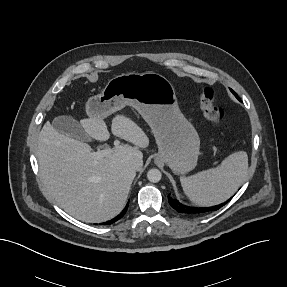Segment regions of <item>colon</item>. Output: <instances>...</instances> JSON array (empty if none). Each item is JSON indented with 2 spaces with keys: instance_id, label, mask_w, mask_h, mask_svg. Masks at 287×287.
I'll return each instance as SVG.
<instances>
[{
  "instance_id": "5ec220e1",
  "label": "colon",
  "mask_w": 287,
  "mask_h": 287,
  "mask_svg": "<svg viewBox=\"0 0 287 287\" xmlns=\"http://www.w3.org/2000/svg\"><path fill=\"white\" fill-rule=\"evenodd\" d=\"M200 107L204 117L214 125H220L224 119V110L214 104L213 92L210 88L204 87L200 91Z\"/></svg>"
}]
</instances>
